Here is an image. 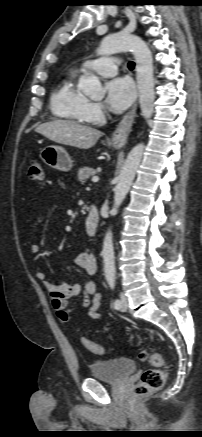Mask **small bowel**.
<instances>
[{
    "mask_svg": "<svg viewBox=\"0 0 202 437\" xmlns=\"http://www.w3.org/2000/svg\"><path fill=\"white\" fill-rule=\"evenodd\" d=\"M58 209V204L51 202L43 207L37 214L39 218L45 214ZM40 250L38 244L31 245V251L37 254ZM74 264L82 269L88 276H94L98 270V264L95 256L89 252L79 253ZM35 278L41 282L43 287L49 292L52 306L56 312L58 319L63 323H68L71 320L72 299L82 295V306L88 309V315L91 319L99 321L102 315L99 312L102 295L97 292L96 282L92 279L87 280L84 284L61 282L53 284L46 279V275L42 271L35 272Z\"/></svg>",
    "mask_w": 202,
    "mask_h": 437,
    "instance_id": "obj_1",
    "label": "small bowel"
}]
</instances>
